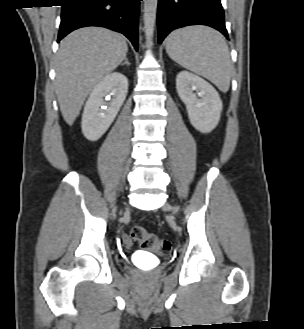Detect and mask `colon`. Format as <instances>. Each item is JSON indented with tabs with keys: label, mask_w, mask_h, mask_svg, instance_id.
Wrapping results in <instances>:
<instances>
[{
	"label": "colon",
	"mask_w": 304,
	"mask_h": 329,
	"mask_svg": "<svg viewBox=\"0 0 304 329\" xmlns=\"http://www.w3.org/2000/svg\"><path fill=\"white\" fill-rule=\"evenodd\" d=\"M131 237L142 248L150 250L157 255L165 256L171 252L172 245L168 239L158 237L141 225H134L131 228Z\"/></svg>",
	"instance_id": "5ec220e1"
}]
</instances>
